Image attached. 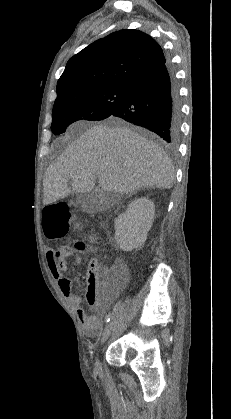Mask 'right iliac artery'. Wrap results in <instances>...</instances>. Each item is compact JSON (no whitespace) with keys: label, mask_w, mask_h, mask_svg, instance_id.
<instances>
[{"label":"right iliac artery","mask_w":231,"mask_h":419,"mask_svg":"<svg viewBox=\"0 0 231 419\" xmlns=\"http://www.w3.org/2000/svg\"><path fill=\"white\" fill-rule=\"evenodd\" d=\"M105 319H106V322H109L110 321V315H107Z\"/></svg>","instance_id":"right-iliac-artery-1"}]
</instances>
